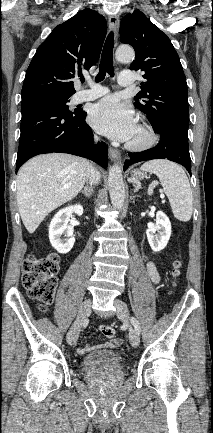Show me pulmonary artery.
I'll use <instances>...</instances> for the list:
<instances>
[{
    "label": "pulmonary artery",
    "mask_w": 213,
    "mask_h": 433,
    "mask_svg": "<svg viewBox=\"0 0 213 433\" xmlns=\"http://www.w3.org/2000/svg\"><path fill=\"white\" fill-rule=\"evenodd\" d=\"M118 83L122 87L131 86L133 83V74L130 71H122L119 75ZM88 89L81 90L76 93L75 99L77 102L89 101L97 99L108 93V89L100 84L88 81Z\"/></svg>",
    "instance_id": "e3ab8cb5"
}]
</instances>
